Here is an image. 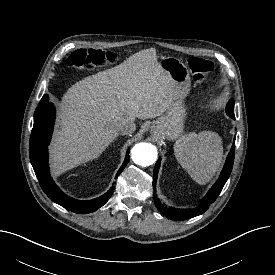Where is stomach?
Listing matches in <instances>:
<instances>
[{
	"mask_svg": "<svg viewBox=\"0 0 275 275\" xmlns=\"http://www.w3.org/2000/svg\"><path fill=\"white\" fill-rule=\"evenodd\" d=\"M160 65L172 80L175 99L165 114L153 123L151 131L155 135L175 139L183 130L186 116L184 98L190 90L189 70L176 57H163Z\"/></svg>",
	"mask_w": 275,
	"mask_h": 275,
	"instance_id": "1",
	"label": "stomach"
}]
</instances>
